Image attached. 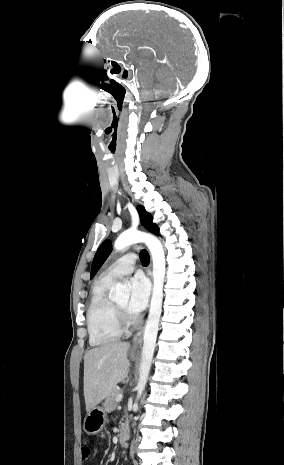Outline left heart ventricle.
I'll return each mask as SVG.
<instances>
[{"mask_svg":"<svg viewBox=\"0 0 284 465\" xmlns=\"http://www.w3.org/2000/svg\"><path fill=\"white\" fill-rule=\"evenodd\" d=\"M116 305L119 307V309L122 312L129 315V313L127 311V302L126 301H120V302L116 303Z\"/></svg>","mask_w":284,"mask_h":465,"instance_id":"obj_1","label":"left heart ventricle"}]
</instances>
